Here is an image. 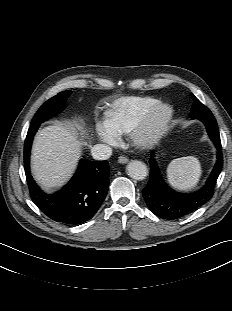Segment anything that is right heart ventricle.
Wrapping results in <instances>:
<instances>
[{
  "mask_svg": "<svg viewBox=\"0 0 232 311\" xmlns=\"http://www.w3.org/2000/svg\"><path fill=\"white\" fill-rule=\"evenodd\" d=\"M159 102L151 96H130L117 100L106 114V125L117 136L131 131L140 117Z\"/></svg>",
  "mask_w": 232,
  "mask_h": 311,
  "instance_id": "right-heart-ventricle-1",
  "label": "right heart ventricle"
}]
</instances>
